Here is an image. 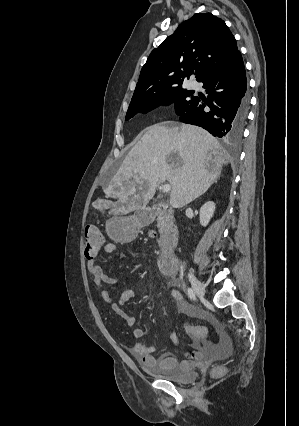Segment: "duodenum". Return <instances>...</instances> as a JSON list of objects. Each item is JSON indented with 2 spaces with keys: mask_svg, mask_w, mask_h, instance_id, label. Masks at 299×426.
<instances>
[{
  "mask_svg": "<svg viewBox=\"0 0 299 426\" xmlns=\"http://www.w3.org/2000/svg\"><path fill=\"white\" fill-rule=\"evenodd\" d=\"M168 211L164 206H157L146 209L137 215V222L145 225L156 218L167 216ZM177 231L169 229L161 240V254L158 259V267L165 275H173L177 271V257L175 249L177 246Z\"/></svg>",
  "mask_w": 299,
  "mask_h": 426,
  "instance_id": "obj_1",
  "label": "duodenum"
}]
</instances>
